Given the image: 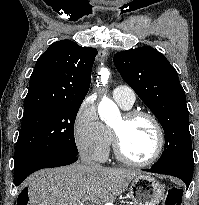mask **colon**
<instances>
[{"label": "colon", "instance_id": "5ec220e1", "mask_svg": "<svg viewBox=\"0 0 199 205\" xmlns=\"http://www.w3.org/2000/svg\"><path fill=\"white\" fill-rule=\"evenodd\" d=\"M183 189L178 186L170 187L162 205H182Z\"/></svg>", "mask_w": 199, "mask_h": 205}]
</instances>
